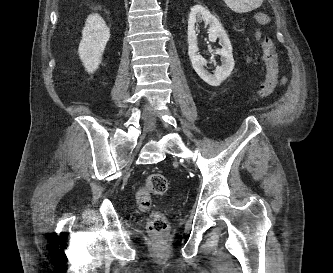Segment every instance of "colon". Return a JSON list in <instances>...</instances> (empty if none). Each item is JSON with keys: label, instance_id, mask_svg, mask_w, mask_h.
Wrapping results in <instances>:
<instances>
[{"label": "colon", "instance_id": "5ec220e1", "mask_svg": "<svg viewBox=\"0 0 333 273\" xmlns=\"http://www.w3.org/2000/svg\"><path fill=\"white\" fill-rule=\"evenodd\" d=\"M255 19L260 24H268L270 19L267 14L257 12ZM261 61L264 65V75L258 86V97L265 99L271 95L279 80V65L275 45L269 35H265L262 42ZM168 189V181L162 174L153 173L146 177L143 185L137 192V203L142 209H148L151 205L152 195H162ZM168 223L164 215L156 213L149 222L151 231L162 234L167 230Z\"/></svg>", "mask_w": 333, "mask_h": 273}]
</instances>
